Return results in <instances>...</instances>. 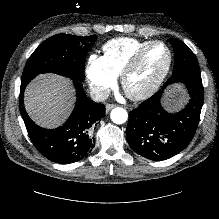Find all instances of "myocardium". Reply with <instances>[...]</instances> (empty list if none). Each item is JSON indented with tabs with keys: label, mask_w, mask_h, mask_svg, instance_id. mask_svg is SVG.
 I'll return each instance as SVG.
<instances>
[{
	"label": "myocardium",
	"mask_w": 219,
	"mask_h": 219,
	"mask_svg": "<svg viewBox=\"0 0 219 219\" xmlns=\"http://www.w3.org/2000/svg\"><path fill=\"white\" fill-rule=\"evenodd\" d=\"M155 45L163 46L167 52V63L163 70L153 79V81L140 91H130L127 88V80L129 76L133 73L136 67L139 65L146 53ZM173 63V55L169 46L159 40L151 41L145 47L138 50L126 63L120 73V83L125 92V94L133 100H144L152 96L161 87L166 77L168 76Z\"/></svg>",
	"instance_id": "f54148a6"
}]
</instances>
